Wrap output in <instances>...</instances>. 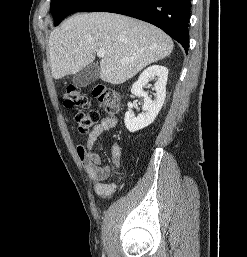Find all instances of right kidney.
Wrapping results in <instances>:
<instances>
[{"label": "right kidney", "mask_w": 247, "mask_h": 257, "mask_svg": "<svg viewBox=\"0 0 247 257\" xmlns=\"http://www.w3.org/2000/svg\"><path fill=\"white\" fill-rule=\"evenodd\" d=\"M155 78L156 82L153 89L156 91L155 99L152 100L147 92L143 91V87ZM168 78V69L162 65H153L145 69L139 76L138 80L133 84L131 92L135 96L144 97L143 113L135 117L131 110L132 103H128L129 111L126 112L124 122L126 128L130 132H135L149 126L157 117L161 110L166 97V84Z\"/></svg>", "instance_id": "1"}]
</instances>
